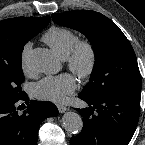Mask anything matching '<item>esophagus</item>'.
I'll return each mask as SVG.
<instances>
[{"mask_svg": "<svg viewBox=\"0 0 145 145\" xmlns=\"http://www.w3.org/2000/svg\"><path fill=\"white\" fill-rule=\"evenodd\" d=\"M57 108L60 113H64L67 110V108L63 105H57Z\"/></svg>", "mask_w": 145, "mask_h": 145, "instance_id": "obj_1", "label": "esophagus"}]
</instances>
